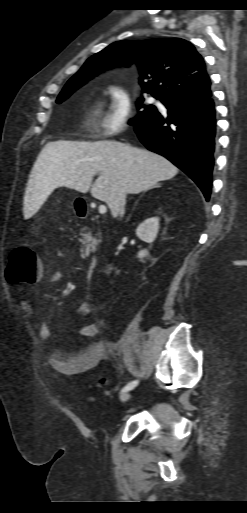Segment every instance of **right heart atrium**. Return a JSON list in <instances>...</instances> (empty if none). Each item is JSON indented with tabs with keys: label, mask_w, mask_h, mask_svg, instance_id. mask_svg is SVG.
Instances as JSON below:
<instances>
[{
	"label": "right heart atrium",
	"mask_w": 247,
	"mask_h": 513,
	"mask_svg": "<svg viewBox=\"0 0 247 513\" xmlns=\"http://www.w3.org/2000/svg\"><path fill=\"white\" fill-rule=\"evenodd\" d=\"M133 110L129 91L121 85L109 88V103L100 122L104 137H114L122 133L128 125Z\"/></svg>",
	"instance_id": "obj_1"
}]
</instances>
